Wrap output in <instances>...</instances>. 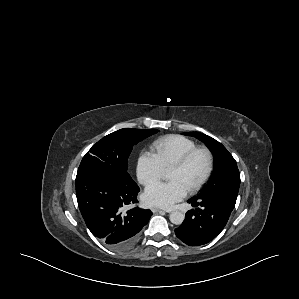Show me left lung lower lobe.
<instances>
[{"instance_id":"left-lung-lower-lobe-1","label":"left lung lower lobe","mask_w":299,"mask_h":299,"mask_svg":"<svg viewBox=\"0 0 299 299\" xmlns=\"http://www.w3.org/2000/svg\"><path fill=\"white\" fill-rule=\"evenodd\" d=\"M196 210H190L180 227L175 229L176 236L190 246H199L214 239L226 225L235 203L221 195L188 201Z\"/></svg>"}]
</instances>
